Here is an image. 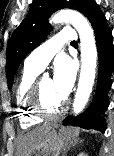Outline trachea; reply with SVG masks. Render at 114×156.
Wrapping results in <instances>:
<instances>
[{
    "label": "trachea",
    "mask_w": 114,
    "mask_h": 156,
    "mask_svg": "<svg viewBox=\"0 0 114 156\" xmlns=\"http://www.w3.org/2000/svg\"><path fill=\"white\" fill-rule=\"evenodd\" d=\"M72 44H77V42L76 41H73Z\"/></svg>",
    "instance_id": "obj_1"
}]
</instances>
